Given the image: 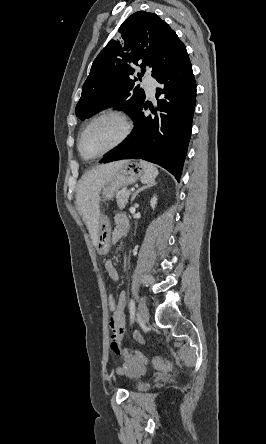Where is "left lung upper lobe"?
Listing matches in <instances>:
<instances>
[{"label": "left lung upper lobe", "instance_id": "1", "mask_svg": "<svg viewBox=\"0 0 266 444\" xmlns=\"http://www.w3.org/2000/svg\"><path fill=\"white\" fill-rule=\"evenodd\" d=\"M118 31L121 37L111 40L94 60L82 88L75 113L84 120L100 109L116 106L133 119L145 100L143 89L134 88V66L152 68L156 79L187 52L177 34L154 13L138 11L129 16Z\"/></svg>", "mask_w": 266, "mask_h": 444}]
</instances>
